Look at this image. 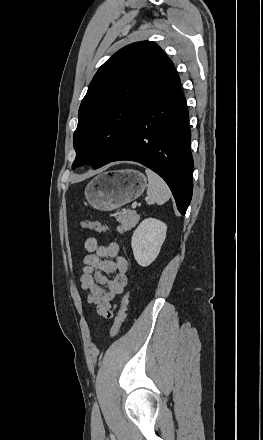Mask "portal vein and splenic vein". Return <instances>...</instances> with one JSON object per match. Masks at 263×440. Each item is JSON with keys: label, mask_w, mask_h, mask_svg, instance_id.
Instances as JSON below:
<instances>
[{"label": "portal vein and splenic vein", "mask_w": 263, "mask_h": 440, "mask_svg": "<svg viewBox=\"0 0 263 440\" xmlns=\"http://www.w3.org/2000/svg\"><path fill=\"white\" fill-rule=\"evenodd\" d=\"M137 207V202L132 203V208L135 209Z\"/></svg>", "instance_id": "portal-vein-and-splenic-vein-1"}]
</instances>
